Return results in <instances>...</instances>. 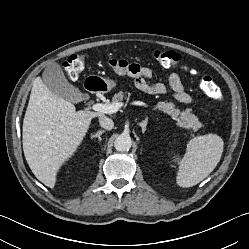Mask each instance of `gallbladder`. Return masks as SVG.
I'll use <instances>...</instances> for the list:
<instances>
[{
  "instance_id": "1",
  "label": "gallbladder",
  "mask_w": 249,
  "mask_h": 249,
  "mask_svg": "<svg viewBox=\"0 0 249 249\" xmlns=\"http://www.w3.org/2000/svg\"><path fill=\"white\" fill-rule=\"evenodd\" d=\"M42 79L46 87L55 95L74 103L81 100V93L68 82L59 64L48 65Z\"/></svg>"
}]
</instances>
